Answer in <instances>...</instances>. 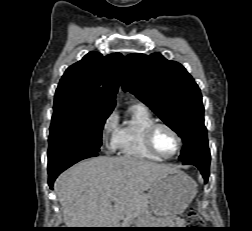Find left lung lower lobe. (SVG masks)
I'll use <instances>...</instances> for the list:
<instances>
[{
    "label": "left lung lower lobe",
    "mask_w": 252,
    "mask_h": 231,
    "mask_svg": "<svg viewBox=\"0 0 252 231\" xmlns=\"http://www.w3.org/2000/svg\"><path fill=\"white\" fill-rule=\"evenodd\" d=\"M185 165H194L196 166L202 173L205 182H207L209 177V165H210V156L208 157H200L194 158L187 161L182 162Z\"/></svg>",
    "instance_id": "1"
}]
</instances>
